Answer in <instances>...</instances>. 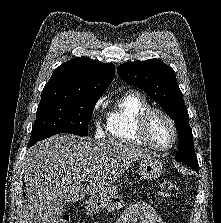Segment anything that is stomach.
<instances>
[{
    "mask_svg": "<svg viewBox=\"0 0 221 223\" xmlns=\"http://www.w3.org/2000/svg\"><path fill=\"white\" fill-rule=\"evenodd\" d=\"M139 175L145 180H156L163 173L161 163L154 157L142 158L139 161ZM118 191V187L112 185L104 191L90 196L86 202V210L89 213H96L104 209L113 198H115Z\"/></svg>",
    "mask_w": 221,
    "mask_h": 223,
    "instance_id": "1",
    "label": "stomach"
}]
</instances>
